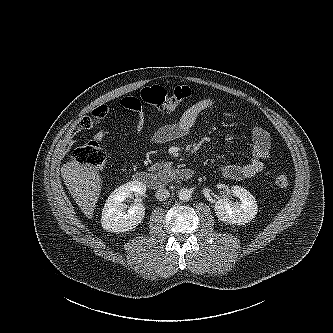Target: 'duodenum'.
Listing matches in <instances>:
<instances>
[{"label":"duodenum","mask_w":333,"mask_h":333,"mask_svg":"<svg viewBox=\"0 0 333 333\" xmlns=\"http://www.w3.org/2000/svg\"><path fill=\"white\" fill-rule=\"evenodd\" d=\"M194 175L192 169L187 167L169 168L159 172L138 171L134 180L151 189H161L173 181H187Z\"/></svg>","instance_id":"410a0bca"}]
</instances>
